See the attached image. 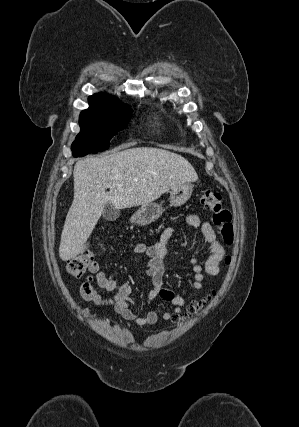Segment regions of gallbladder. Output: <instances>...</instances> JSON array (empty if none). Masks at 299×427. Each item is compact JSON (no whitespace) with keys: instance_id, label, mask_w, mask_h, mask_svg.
I'll list each match as a JSON object with an SVG mask.
<instances>
[{"instance_id":"1","label":"gallbladder","mask_w":299,"mask_h":427,"mask_svg":"<svg viewBox=\"0 0 299 427\" xmlns=\"http://www.w3.org/2000/svg\"><path fill=\"white\" fill-rule=\"evenodd\" d=\"M102 215L107 221H115L120 216V210L115 209L112 204L108 203L105 205Z\"/></svg>"}]
</instances>
